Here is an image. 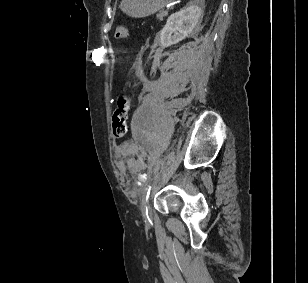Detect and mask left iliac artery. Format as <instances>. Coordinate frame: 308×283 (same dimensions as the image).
Instances as JSON below:
<instances>
[{"label": "left iliac artery", "mask_w": 308, "mask_h": 283, "mask_svg": "<svg viewBox=\"0 0 308 283\" xmlns=\"http://www.w3.org/2000/svg\"><path fill=\"white\" fill-rule=\"evenodd\" d=\"M150 190H151V186L148 185L146 190L144 191L143 197H142V205L143 206L147 205V201H148V197H149V194H150Z\"/></svg>", "instance_id": "44dca946"}]
</instances>
